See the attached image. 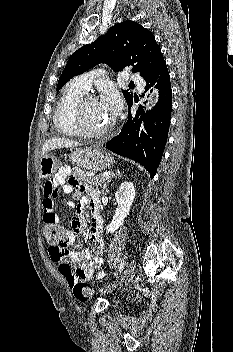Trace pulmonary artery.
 Returning <instances> with one entry per match:
<instances>
[{
    "label": "pulmonary artery",
    "mask_w": 233,
    "mask_h": 352,
    "mask_svg": "<svg viewBox=\"0 0 233 352\" xmlns=\"http://www.w3.org/2000/svg\"><path fill=\"white\" fill-rule=\"evenodd\" d=\"M94 76L95 75L92 72L84 73V74L77 76L74 79V82L78 86L83 88L84 90L88 91L91 87L92 80H93ZM127 78L132 80L133 82L137 83L138 85H143V83H144L142 77L139 74L129 73V74H127Z\"/></svg>",
    "instance_id": "e3ab8cb5"
}]
</instances>
